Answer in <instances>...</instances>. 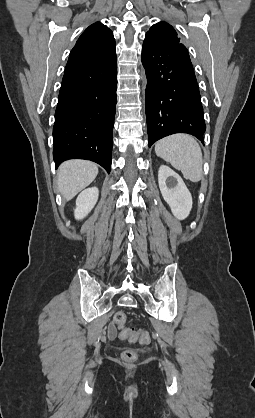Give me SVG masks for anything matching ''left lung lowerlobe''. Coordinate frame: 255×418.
Returning <instances> with one entry per match:
<instances>
[{"instance_id":"obj_1","label":"left lung lower lobe","mask_w":255,"mask_h":418,"mask_svg":"<svg viewBox=\"0 0 255 418\" xmlns=\"http://www.w3.org/2000/svg\"><path fill=\"white\" fill-rule=\"evenodd\" d=\"M146 118L149 147L157 140L188 133L203 142L206 125L199 87L184 45L157 48L144 42Z\"/></svg>"}]
</instances>
